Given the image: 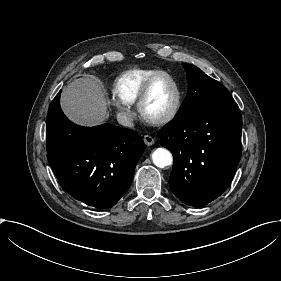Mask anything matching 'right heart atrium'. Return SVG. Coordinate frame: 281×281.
Listing matches in <instances>:
<instances>
[{"label":"right heart atrium","mask_w":281,"mask_h":281,"mask_svg":"<svg viewBox=\"0 0 281 281\" xmlns=\"http://www.w3.org/2000/svg\"><path fill=\"white\" fill-rule=\"evenodd\" d=\"M114 106L123 120L131 121L134 118L135 115L133 110L126 106L124 103L120 101H115Z\"/></svg>","instance_id":"right-heart-atrium-1"}]
</instances>
